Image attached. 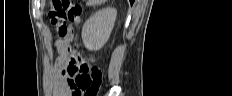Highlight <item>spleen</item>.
Listing matches in <instances>:
<instances>
[{
  "label": "spleen",
  "mask_w": 232,
  "mask_h": 96,
  "mask_svg": "<svg viewBox=\"0 0 232 96\" xmlns=\"http://www.w3.org/2000/svg\"><path fill=\"white\" fill-rule=\"evenodd\" d=\"M104 2H105L104 0H88L86 5L87 6H96V5H101Z\"/></svg>",
  "instance_id": "spleen-1"
}]
</instances>
